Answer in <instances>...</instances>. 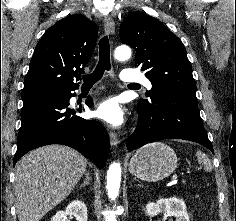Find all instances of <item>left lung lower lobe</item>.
<instances>
[{
	"instance_id": "1",
	"label": "left lung lower lobe",
	"mask_w": 236,
	"mask_h": 221,
	"mask_svg": "<svg viewBox=\"0 0 236 221\" xmlns=\"http://www.w3.org/2000/svg\"><path fill=\"white\" fill-rule=\"evenodd\" d=\"M139 122L127 140L133 151L162 139H184L197 142L213 151L197 107L196 95L161 92L138 104Z\"/></svg>"
}]
</instances>
